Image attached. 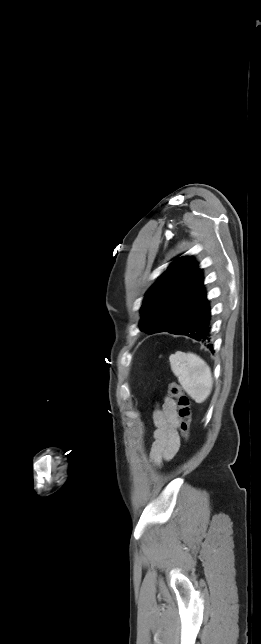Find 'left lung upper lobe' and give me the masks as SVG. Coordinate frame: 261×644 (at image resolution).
Here are the masks:
<instances>
[{
	"instance_id": "5c2ea615",
	"label": "left lung upper lobe",
	"mask_w": 261,
	"mask_h": 644,
	"mask_svg": "<svg viewBox=\"0 0 261 644\" xmlns=\"http://www.w3.org/2000/svg\"><path fill=\"white\" fill-rule=\"evenodd\" d=\"M205 300L202 270L192 257L179 258L146 293L139 326L150 334L169 332L186 321Z\"/></svg>"
}]
</instances>
